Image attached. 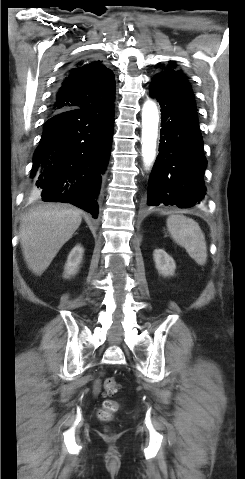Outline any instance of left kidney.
Here are the masks:
<instances>
[{
    "mask_svg": "<svg viewBox=\"0 0 245 479\" xmlns=\"http://www.w3.org/2000/svg\"><path fill=\"white\" fill-rule=\"evenodd\" d=\"M153 257L156 265V269L163 276H172L174 275L176 264L174 259L169 256L162 249H155L153 252Z\"/></svg>",
    "mask_w": 245,
    "mask_h": 479,
    "instance_id": "1",
    "label": "left kidney"
}]
</instances>
